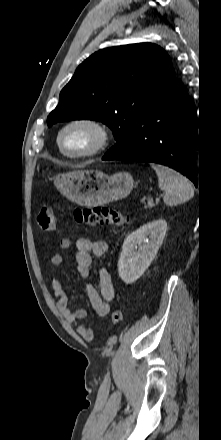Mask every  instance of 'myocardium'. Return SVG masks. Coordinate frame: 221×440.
I'll return each mask as SVG.
<instances>
[{
  "label": "myocardium",
  "mask_w": 221,
  "mask_h": 440,
  "mask_svg": "<svg viewBox=\"0 0 221 440\" xmlns=\"http://www.w3.org/2000/svg\"><path fill=\"white\" fill-rule=\"evenodd\" d=\"M73 127H84L94 136V142L88 149L80 152L66 151L62 146V137L66 131ZM110 132L108 127L100 120L93 117H77L69 120L58 130L56 144L59 152L69 159H87L103 152L110 142Z\"/></svg>",
  "instance_id": "f54148a6"
}]
</instances>
